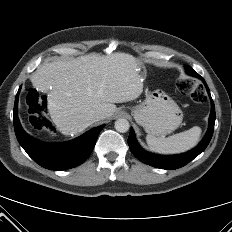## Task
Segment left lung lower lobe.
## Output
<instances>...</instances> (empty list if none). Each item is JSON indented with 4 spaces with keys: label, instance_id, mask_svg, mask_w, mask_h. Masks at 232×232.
I'll list each match as a JSON object with an SVG mask.
<instances>
[{
    "label": "left lung lower lobe",
    "instance_id": "1",
    "mask_svg": "<svg viewBox=\"0 0 232 232\" xmlns=\"http://www.w3.org/2000/svg\"><path fill=\"white\" fill-rule=\"evenodd\" d=\"M186 73L201 79L206 87V90L209 94L211 100V113L209 117V128L207 130L206 135L204 136L203 140L196 146L194 149L180 155H172V156H163L152 154L143 150L136 141L134 131L131 129L130 135L128 138V144L132 153L139 159L141 162L148 164L150 166L160 168V169H167L173 170L183 167L191 160H193L196 156H198L201 152L205 150L207 145L209 144L211 137L214 131V124H215V106L214 102L210 95V90L205 82V80L196 73L190 66H186Z\"/></svg>",
    "mask_w": 232,
    "mask_h": 232
}]
</instances>
